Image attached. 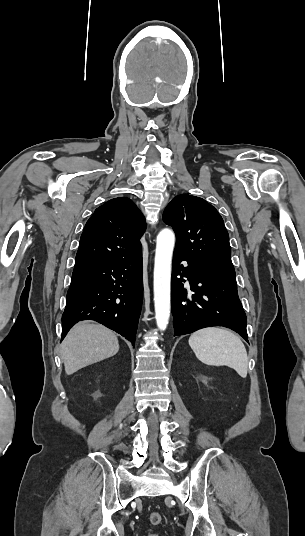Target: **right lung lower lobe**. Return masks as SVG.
Wrapping results in <instances>:
<instances>
[{
	"label": "right lung lower lobe",
	"instance_id": "1",
	"mask_svg": "<svg viewBox=\"0 0 305 536\" xmlns=\"http://www.w3.org/2000/svg\"><path fill=\"white\" fill-rule=\"evenodd\" d=\"M142 299V253L74 270L62 315V339L76 322L92 319L134 346Z\"/></svg>",
	"mask_w": 305,
	"mask_h": 536
}]
</instances>
